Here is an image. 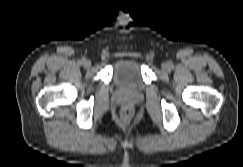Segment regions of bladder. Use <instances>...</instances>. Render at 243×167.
Returning <instances> with one entry per match:
<instances>
[{"mask_svg": "<svg viewBox=\"0 0 243 167\" xmlns=\"http://www.w3.org/2000/svg\"><path fill=\"white\" fill-rule=\"evenodd\" d=\"M114 83L120 90L137 93L143 90L144 82L139 63L133 59H120L114 66Z\"/></svg>", "mask_w": 243, "mask_h": 167, "instance_id": "31cf9c89", "label": "bladder"}]
</instances>
